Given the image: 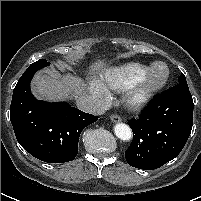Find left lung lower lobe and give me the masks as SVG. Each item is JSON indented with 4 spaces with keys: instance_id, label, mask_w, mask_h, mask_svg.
<instances>
[{
    "instance_id": "0a47b994",
    "label": "left lung lower lobe",
    "mask_w": 201,
    "mask_h": 201,
    "mask_svg": "<svg viewBox=\"0 0 201 201\" xmlns=\"http://www.w3.org/2000/svg\"><path fill=\"white\" fill-rule=\"evenodd\" d=\"M193 108L188 85L177 84L155 98L139 119L129 120L133 141L125 151L128 164L153 170L177 157L192 130Z\"/></svg>"
}]
</instances>
